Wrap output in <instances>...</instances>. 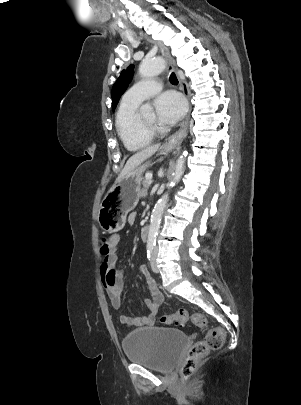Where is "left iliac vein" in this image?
I'll return each mask as SVG.
<instances>
[{"label": "left iliac vein", "instance_id": "left-iliac-vein-1", "mask_svg": "<svg viewBox=\"0 0 301 405\" xmlns=\"http://www.w3.org/2000/svg\"><path fill=\"white\" fill-rule=\"evenodd\" d=\"M151 268H152L153 272L158 273V267H157V264H156V251H154L152 253Z\"/></svg>", "mask_w": 301, "mask_h": 405}]
</instances>
